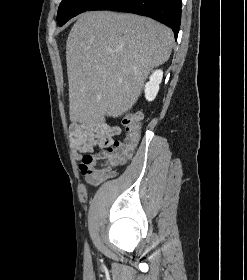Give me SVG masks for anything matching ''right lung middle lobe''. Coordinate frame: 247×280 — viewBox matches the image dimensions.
<instances>
[{
	"instance_id": "obj_1",
	"label": "right lung middle lobe",
	"mask_w": 247,
	"mask_h": 280,
	"mask_svg": "<svg viewBox=\"0 0 247 280\" xmlns=\"http://www.w3.org/2000/svg\"><path fill=\"white\" fill-rule=\"evenodd\" d=\"M100 0H62L57 13V22L64 25L74 16L91 9Z\"/></svg>"
}]
</instances>
